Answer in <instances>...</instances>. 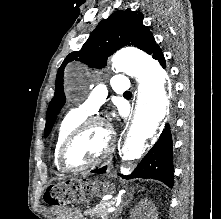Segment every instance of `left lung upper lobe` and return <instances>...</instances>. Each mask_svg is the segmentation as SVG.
I'll list each match as a JSON object with an SVG mask.
<instances>
[{"label":"left lung upper lobe","instance_id":"5c2ea615","mask_svg":"<svg viewBox=\"0 0 221 219\" xmlns=\"http://www.w3.org/2000/svg\"><path fill=\"white\" fill-rule=\"evenodd\" d=\"M124 46H135L148 54H152L158 46L149 28L143 25V15L130 8L116 11L108 19L101 21L82 49L70 53L65 58L57 72L55 95L48 106L44 137L50 133L57 114L65 104L63 91L65 66L75 60L90 67L102 68L107 57Z\"/></svg>","mask_w":221,"mask_h":219}]
</instances>
